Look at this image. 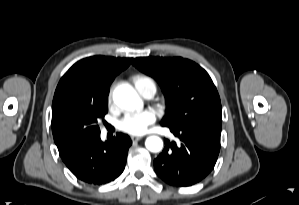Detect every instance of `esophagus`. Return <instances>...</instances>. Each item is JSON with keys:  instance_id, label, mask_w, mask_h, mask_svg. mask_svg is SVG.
I'll return each instance as SVG.
<instances>
[{"instance_id": "esophagus-1", "label": "esophagus", "mask_w": 299, "mask_h": 205, "mask_svg": "<svg viewBox=\"0 0 299 205\" xmlns=\"http://www.w3.org/2000/svg\"><path fill=\"white\" fill-rule=\"evenodd\" d=\"M143 137L142 136H131V140L133 141V142H135V141H139V140H141Z\"/></svg>"}]
</instances>
